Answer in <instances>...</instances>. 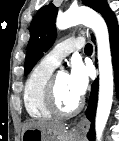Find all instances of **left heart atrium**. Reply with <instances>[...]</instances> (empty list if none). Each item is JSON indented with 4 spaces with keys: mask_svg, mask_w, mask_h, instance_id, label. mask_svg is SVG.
Returning <instances> with one entry per match:
<instances>
[{
    "mask_svg": "<svg viewBox=\"0 0 119 141\" xmlns=\"http://www.w3.org/2000/svg\"><path fill=\"white\" fill-rule=\"evenodd\" d=\"M68 81L74 94L81 98L88 86V71L81 61H73Z\"/></svg>",
    "mask_w": 119,
    "mask_h": 141,
    "instance_id": "39dd6f15",
    "label": "left heart atrium"
}]
</instances>
